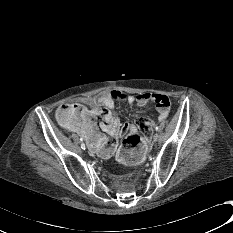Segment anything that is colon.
I'll list each match as a JSON object with an SVG mask.
<instances>
[{
    "label": "colon",
    "instance_id": "5ec220e1",
    "mask_svg": "<svg viewBox=\"0 0 233 233\" xmlns=\"http://www.w3.org/2000/svg\"><path fill=\"white\" fill-rule=\"evenodd\" d=\"M81 111V106L77 104H64L58 110V118L64 125H69L74 121L76 115ZM108 114V110L105 108H100L95 111V117L99 120H104V117ZM129 133L123 139L122 145L123 149L129 147H136L142 145L144 140L150 134V127L143 118L137 121V129L133 128L128 130ZM126 132V131H124Z\"/></svg>",
    "mask_w": 233,
    "mask_h": 233
}]
</instances>
